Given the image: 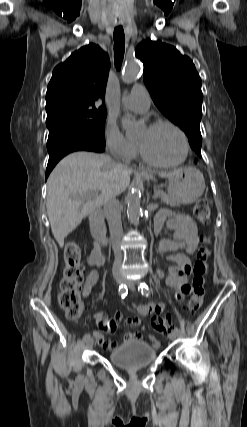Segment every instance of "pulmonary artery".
Wrapping results in <instances>:
<instances>
[{
  "label": "pulmonary artery",
  "instance_id": "pulmonary-artery-1",
  "mask_svg": "<svg viewBox=\"0 0 247 427\" xmlns=\"http://www.w3.org/2000/svg\"><path fill=\"white\" fill-rule=\"evenodd\" d=\"M122 103L131 110L144 112L150 106V96L143 85H135L131 93L122 98Z\"/></svg>",
  "mask_w": 247,
  "mask_h": 427
}]
</instances>
